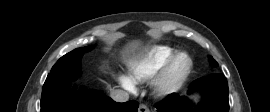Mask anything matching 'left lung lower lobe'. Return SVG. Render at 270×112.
<instances>
[{
    "instance_id": "0a47b994",
    "label": "left lung lower lobe",
    "mask_w": 270,
    "mask_h": 112,
    "mask_svg": "<svg viewBox=\"0 0 270 112\" xmlns=\"http://www.w3.org/2000/svg\"><path fill=\"white\" fill-rule=\"evenodd\" d=\"M201 91L203 101L196 112H229L228 83L222 74H211L194 81L188 93ZM186 97L173 93L157 105V112H194Z\"/></svg>"
}]
</instances>
